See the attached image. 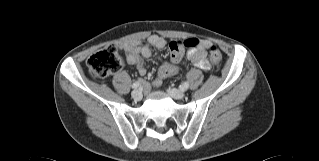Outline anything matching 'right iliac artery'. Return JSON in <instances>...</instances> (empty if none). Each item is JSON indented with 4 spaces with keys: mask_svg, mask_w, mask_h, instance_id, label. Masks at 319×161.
Segmentation results:
<instances>
[{
    "mask_svg": "<svg viewBox=\"0 0 319 161\" xmlns=\"http://www.w3.org/2000/svg\"><path fill=\"white\" fill-rule=\"evenodd\" d=\"M139 86H140V82L139 81H137V82L132 84V88L133 89H137Z\"/></svg>",
    "mask_w": 319,
    "mask_h": 161,
    "instance_id": "82829eb1",
    "label": "right iliac artery"
}]
</instances>
